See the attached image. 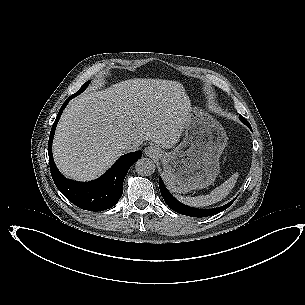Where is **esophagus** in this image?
Here are the masks:
<instances>
[{
  "label": "esophagus",
  "mask_w": 305,
  "mask_h": 305,
  "mask_svg": "<svg viewBox=\"0 0 305 305\" xmlns=\"http://www.w3.org/2000/svg\"><path fill=\"white\" fill-rule=\"evenodd\" d=\"M144 153L148 157H157L160 154V150L157 146L155 145H150L145 148Z\"/></svg>",
  "instance_id": "1"
}]
</instances>
